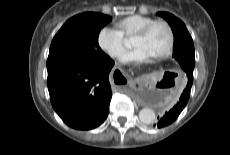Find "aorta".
I'll use <instances>...</instances> for the list:
<instances>
[{"mask_svg":"<svg viewBox=\"0 0 230 155\" xmlns=\"http://www.w3.org/2000/svg\"><path fill=\"white\" fill-rule=\"evenodd\" d=\"M139 119L144 124H152L156 120L155 111L151 108H144L139 112Z\"/></svg>","mask_w":230,"mask_h":155,"instance_id":"1","label":"aorta"}]
</instances>
